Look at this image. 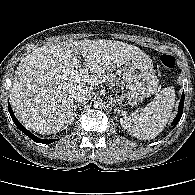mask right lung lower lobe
I'll return each instance as SVG.
<instances>
[{"instance_id": "right-lung-lower-lobe-1", "label": "right lung lower lobe", "mask_w": 195, "mask_h": 195, "mask_svg": "<svg viewBox=\"0 0 195 195\" xmlns=\"http://www.w3.org/2000/svg\"><path fill=\"white\" fill-rule=\"evenodd\" d=\"M8 109H9V113L11 115V118L12 120L14 121L15 125L25 134L27 135L28 137H30L32 140H34L35 142H38V143H43V144H47V143H52L54 142L55 140H47V139H40L36 136H34L31 132H29L23 125L20 124V122L17 120V118L15 117L12 109H11V106L8 102Z\"/></svg>"}]
</instances>
